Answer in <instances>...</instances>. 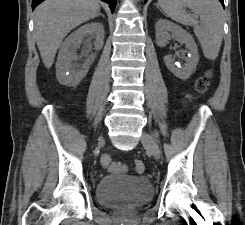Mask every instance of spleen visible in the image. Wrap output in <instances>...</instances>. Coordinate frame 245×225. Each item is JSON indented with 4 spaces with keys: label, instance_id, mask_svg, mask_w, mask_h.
<instances>
[{
    "label": "spleen",
    "instance_id": "3e777b00",
    "mask_svg": "<svg viewBox=\"0 0 245 225\" xmlns=\"http://www.w3.org/2000/svg\"><path fill=\"white\" fill-rule=\"evenodd\" d=\"M166 16L186 26H193L203 54L207 59L217 58L223 39V8L218 0H158ZM194 13L188 14L184 8ZM200 17V21L196 17Z\"/></svg>",
    "mask_w": 245,
    "mask_h": 225
}]
</instances>
